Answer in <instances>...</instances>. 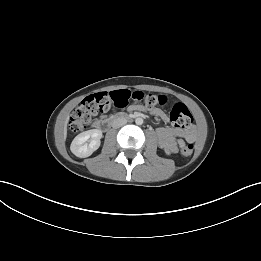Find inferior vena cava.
Here are the masks:
<instances>
[{
  "label": "inferior vena cava",
  "mask_w": 261,
  "mask_h": 261,
  "mask_svg": "<svg viewBox=\"0 0 261 261\" xmlns=\"http://www.w3.org/2000/svg\"><path fill=\"white\" fill-rule=\"evenodd\" d=\"M127 123V120L125 118H116L113 123L112 127L113 128H119Z\"/></svg>",
  "instance_id": "602c4592"
}]
</instances>
